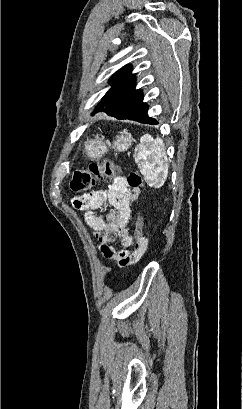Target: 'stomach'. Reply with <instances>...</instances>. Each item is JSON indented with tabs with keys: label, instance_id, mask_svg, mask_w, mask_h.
I'll use <instances>...</instances> for the list:
<instances>
[{
	"label": "stomach",
	"instance_id": "obj_1",
	"mask_svg": "<svg viewBox=\"0 0 243 409\" xmlns=\"http://www.w3.org/2000/svg\"><path fill=\"white\" fill-rule=\"evenodd\" d=\"M133 141L134 139L129 133H121L116 136L112 144L109 141L104 142L103 139L96 138L85 143L84 152L91 160H99L109 151V148L114 149L116 152L127 151Z\"/></svg>",
	"mask_w": 243,
	"mask_h": 409
}]
</instances>
